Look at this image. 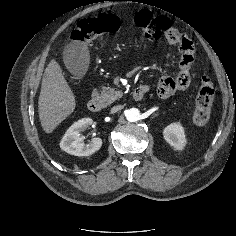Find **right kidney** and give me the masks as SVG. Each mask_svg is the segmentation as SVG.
<instances>
[{
  "mask_svg": "<svg viewBox=\"0 0 236 236\" xmlns=\"http://www.w3.org/2000/svg\"><path fill=\"white\" fill-rule=\"evenodd\" d=\"M92 122L90 118H83L75 122L64 134L60 148L75 156H90L98 151L102 146L101 138H93L85 143L81 136V132L85 131Z\"/></svg>",
  "mask_w": 236,
  "mask_h": 236,
  "instance_id": "ca27d5eb",
  "label": "right kidney"
}]
</instances>
